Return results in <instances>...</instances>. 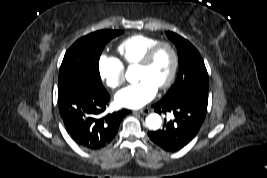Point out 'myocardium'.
I'll use <instances>...</instances> for the list:
<instances>
[{
  "instance_id": "obj_1",
  "label": "myocardium",
  "mask_w": 267,
  "mask_h": 178,
  "mask_svg": "<svg viewBox=\"0 0 267 178\" xmlns=\"http://www.w3.org/2000/svg\"><path fill=\"white\" fill-rule=\"evenodd\" d=\"M162 48H167L170 51L172 56V66L167 79L158 86L160 90L167 89L172 85L178 71L179 53L174 43L168 40L159 41L145 53L141 61L138 63L139 67H148L152 63L158 51Z\"/></svg>"
}]
</instances>
